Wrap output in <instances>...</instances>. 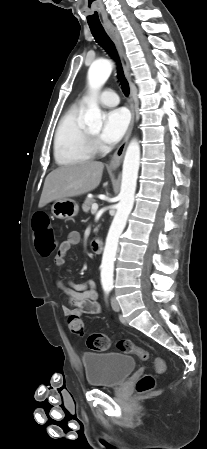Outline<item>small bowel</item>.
I'll return each instance as SVG.
<instances>
[{
    "label": "small bowel",
    "mask_w": 207,
    "mask_h": 449,
    "mask_svg": "<svg viewBox=\"0 0 207 449\" xmlns=\"http://www.w3.org/2000/svg\"><path fill=\"white\" fill-rule=\"evenodd\" d=\"M80 242V235L77 232H71L66 239L59 245L58 251L54 257L57 266L65 264L68 252ZM57 289L62 291L69 300L70 306H63L62 310L66 316H79L81 314L95 315L100 312L98 294L95 289V282L92 279L76 283L68 280L65 284L61 280L55 282Z\"/></svg>",
    "instance_id": "small-bowel-1"
}]
</instances>
